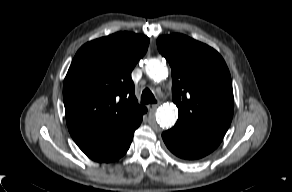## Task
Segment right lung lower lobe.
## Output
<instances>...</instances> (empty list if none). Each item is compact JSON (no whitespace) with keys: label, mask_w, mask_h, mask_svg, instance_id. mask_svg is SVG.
<instances>
[{"label":"right lung lower lobe","mask_w":292,"mask_h":192,"mask_svg":"<svg viewBox=\"0 0 292 192\" xmlns=\"http://www.w3.org/2000/svg\"><path fill=\"white\" fill-rule=\"evenodd\" d=\"M142 116L112 132L102 134H77L72 136L78 147L92 160L112 162L122 157L130 147L134 131L139 127Z\"/></svg>","instance_id":"1"}]
</instances>
